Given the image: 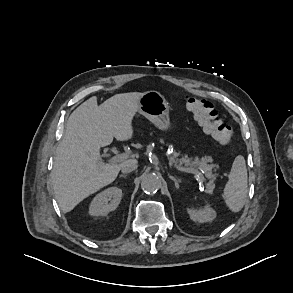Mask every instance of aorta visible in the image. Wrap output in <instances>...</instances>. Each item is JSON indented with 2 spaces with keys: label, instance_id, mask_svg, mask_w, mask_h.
Here are the masks:
<instances>
[{
  "label": "aorta",
  "instance_id": "762f6f07",
  "mask_svg": "<svg viewBox=\"0 0 293 293\" xmlns=\"http://www.w3.org/2000/svg\"><path fill=\"white\" fill-rule=\"evenodd\" d=\"M161 187L160 178L153 173L147 174L141 181V189L145 193H155Z\"/></svg>",
  "mask_w": 293,
  "mask_h": 293
}]
</instances>
